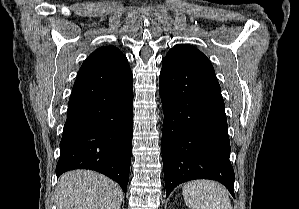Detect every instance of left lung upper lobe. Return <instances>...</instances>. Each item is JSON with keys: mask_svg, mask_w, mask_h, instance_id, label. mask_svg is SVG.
I'll return each instance as SVG.
<instances>
[{"mask_svg": "<svg viewBox=\"0 0 299 209\" xmlns=\"http://www.w3.org/2000/svg\"><path fill=\"white\" fill-rule=\"evenodd\" d=\"M172 64L213 68L209 59L198 49L190 45H176L169 50L163 59Z\"/></svg>", "mask_w": 299, "mask_h": 209, "instance_id": "left-lung-upper-lobe-1", "label": "left lung upper lobe"}]
</instances>
